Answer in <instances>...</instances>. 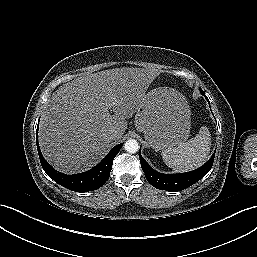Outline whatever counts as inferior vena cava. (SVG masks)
Instances as JSON below:
<instances>
[{
    "label": "inferior vena cava",
    "mask_w": 257,
    "mask_h": 257,
    "mask_svg": "<svg viewBox=\"0 0 257 257\" xmlns=\"http://www.w3.org/2000/svg\"><path fill=\"white\" fill-rule=\"evenodd\" d=\"M105 137L109 140H113L116 138V132L115 131H109L105 133Z\"/></svg>",
    "instance_id": "1"
}]
</instances>
